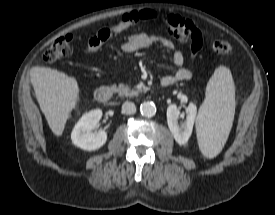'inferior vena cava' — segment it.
Returning a JSON list of instances; mask_svg holds the SVG:
<instances>
[{"mask_svg": "<svg viewBox=\"0 0 275 215\" xmlns=\"http://www.w3.org/2000/svg\"><path fill=\"white\" fill-rule=\"evenodd\" d=\"M122 112L124 114H134L136 112V106L133 102L126 101L122 105Z\"/></svg>", "mask_w": 275, "mask_h": 215, "instance_id": "602c4592", "label": "inferior vena cava"}]
</instances>
